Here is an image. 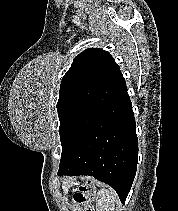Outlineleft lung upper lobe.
I'll list each match as a JSON object with an SVG mask.
<instances>
[{"instance_id":"5c2ea615","label":"left lung upper lobe","mask_w":178,"mask_h":211,"mask_svg":"<svg viewBox=\"0 0 178 211\" xmlns=\"http://www.w3.org/2000/svg\"><path fill=\"white\" fill-rule=\"evenodd\" d=\"M123 75L112 56L99 48L75 57L62 78L57 111L64 162L105 110Z\"/></svg>"}]
</instances>
